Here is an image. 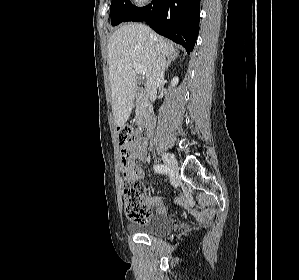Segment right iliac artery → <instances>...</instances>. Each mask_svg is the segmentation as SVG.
Listing matches in <instances>:
<instances>
[{"mask_svg":"<svg viewBox=\"0 0 299 280\" xmlns=\"http://www.w3.org/2000/svg\"><path fill=\"white\" fill-rule=\"evenodd\" d=\"M153 168H154L155 172L161 173V174H167L168 171H169V169L167 168V166L162 165V164L154 165Z\"/></svg>","mask_w":299,"mask_h":280,"instance_id":"obj_1","label":"right iliac artery"}]
</instances>
